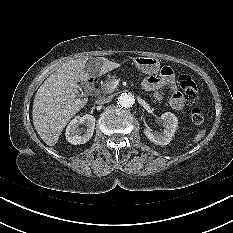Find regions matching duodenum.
Returning <instances> with one entry per match:
<instances>
[{"mask_svg":"<svg viewBox=\"0 0 233 233\" xmlns=\"http://www.w3.org/2000/svg\"><path fill=\"white\" fill-rule=\"evenodd\" d=\"M88 84H89L90 88H92V86H93V79H89L88 80Z\"/></svg>","mask_w":233,"mask_h":233,"instance_id":"duodenum-1","label":"duodenum"}]
</instances>
